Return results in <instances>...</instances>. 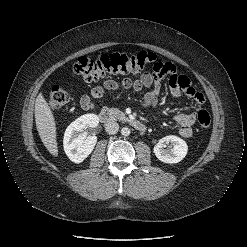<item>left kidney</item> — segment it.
Returning a JSON list of instances; mask_svg holds the SVG:
<instances>
[{
	"label": "left kidney",
	"instance_id": "obj_1",
	"mask_svg": "<svg viewBox=\"0 0 247 247\" xmlns=\"http://www.w3.org/2000/svg\"><path fill=\"white\" fill-rule=\"evenodd\" d=\"M164 143L171 144L169 149H165ZM155 156L164 163H178L185 158L188 146L186 142L178 136L169 135L159 140L154 146Z\"/></svg>",
	"mask_w": 247,
	"mask_h": 247
}]
</instances>
